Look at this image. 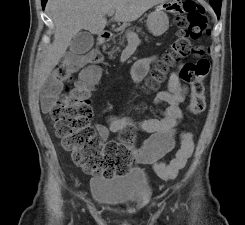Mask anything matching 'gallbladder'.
Here are the masks:
<instances>
[{"mask_svg":"<svg viewBox=\"0 0 245 225\" xmlns=\"http://www.w3.org/2000/svg\"><path fill=\"white\" fill-rule=\"evenodd\" d=\"M93 44V35L87 31H80L70 42V52L77 55L85 54L92 48Z\"/></svg>","mask_w":245,"mask_h":225,"instance_id":"bac80fb5","label":"gallbladder"}]
</instances>
